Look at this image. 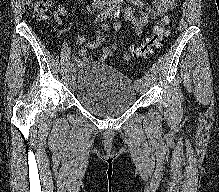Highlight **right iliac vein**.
I'll return each instance as SVG.
<instances>
[{
  "mask_svg": "<svg viewBox=\"0 0 219 192\" xmlns=\"http://www.w3.org/2000/svg\"><path fill=\"white\" fill-rule=\"evenodd\" d=\"M75 77H76V71L73 69V70H71V72H70V79H71L72 81H74V80H75Z\"/></svg>",
  "mask_w": 219,
  "mask_h": 192,
  "instance_id": "63e3f726",
  "label": "right iliac vein"
}]
</instances>
